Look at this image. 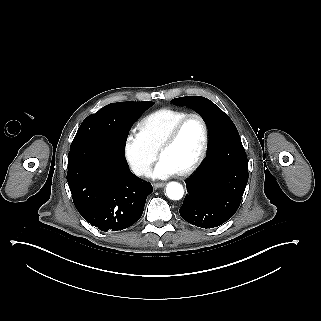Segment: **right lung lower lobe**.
Returning a JSON list of instances; mask_svg holds the SVG:
<instances>
[{
    "label": "right lung lower lobe",
    "mask_w": 321,
    "mask_h": 321,
    "mask_svg": "<svg viewBox=\"0 0 321 321\" xmlns=\"http://www.w3.org/2000/svg\"><path fill=\"white\" fill-rule=\"evenodd\" d=\"M143 112L131 105L107 109L114 136L126 144L133 123ZM67 182L81 216L105 232L123 230L137 222L153 191L150 183L130 171L125 151L107 147L70 150Z\"/></svg>",
    "instance_id": "98d812e1"
}]
</instances>
